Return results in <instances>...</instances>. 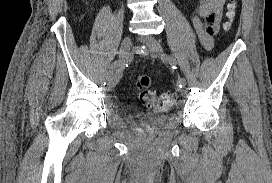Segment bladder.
I'll use <instances>...</instances> for the list:
<instances>
[{"instance_id": "obj_1", "label": "bladder", "mask_w": 272, "mask_h": 183, "mask_svg": "<svg viewBox=\"0 0 272 183\" xmlns=\"http://www.w3.org/2000/svg\"><path fill=\"white\" fill-rule=\"evenodd\" d=\"M148 121L151 126L155 128H160L165 124L166 119L164 117H150L148 118Z\"/></svg>"}]
</instances>
